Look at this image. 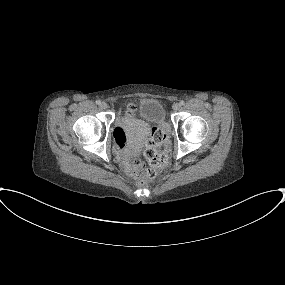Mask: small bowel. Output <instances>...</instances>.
I'll use <instances>...</instances> for the list:
<instances>
[{"instance_id":"small-bowel-1","label":"small bowel","mask_w":285,"mask_h":285,"mask_svg":"<svg viewBox=\"0 0 285 285\" xmlns=\"http://www.w3.org/2000/svg\"><path fill=\"white\" fill-rule=\"evenodd\" d=\"M121 138H122V131L121 129H117L115 133V140H116V146L118 148V153L124 160L127 172L131 175H135V171L132 169L134 163H131L129 161V156L131 154V151L126 146H124L123 143H121L120 141Z\"/></svg>"}]
</instances>
